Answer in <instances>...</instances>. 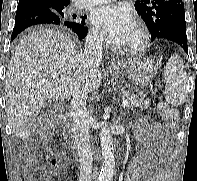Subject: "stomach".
<instances>
[{"instance_id":"obj_1","label":"stomach","mask_w":197,"mask_h":181,"mask_svg":"<svg viewBox=\"0 0 197 181\" xmlns=\"http://www.w3.org/2000/svg\"><path fill=\"white\" fill-rule=\"evenodd\" d=\"M126 66L122 69L113 68L111 72L114 75L127 77L136 86H145L149 84L157 74V64L149 58L132 59L125 63Z\"/></svg>"}]
</instances>
